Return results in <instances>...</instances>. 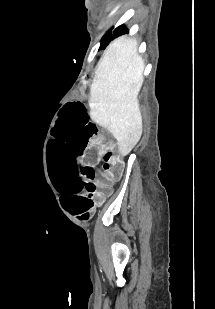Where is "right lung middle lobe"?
<instances>
[{"label": "right lung middle lobe", "instance_id": "obj_1", "mask_svg": "<svg viewBox=\"0 0 215 309\" xmlns=\"http://www.w3.org/2000/svg\"><path fill=\"white\" fill-rule=\"evenodd\" d=\"M120 28H121V26L118 27V28L114 31L113 34L111 33V30L108 31V33L102 38L101 45H100V49H104V48L108 45V43H109L110 40H112V39H114L115 37L118 36V33H119V31H120Z\"/></svg>", "mask_w": 215, "mask_h": 309}]
</instances>
